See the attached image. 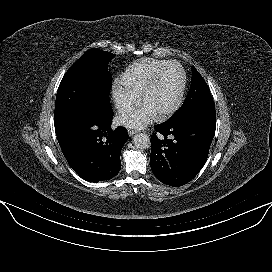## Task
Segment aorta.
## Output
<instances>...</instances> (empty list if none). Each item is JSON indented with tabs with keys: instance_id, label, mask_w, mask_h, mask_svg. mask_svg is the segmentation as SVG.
<instances>
[{
	"instance_id": "obj_1",
	"label": "aorta",
	"mask_w": 272,
	"mask_h": 272,
	"mask_svg": "<svg viewBox=\"0 0 272 272\" xmlns=\"http://www.w3.org/2000/svg\"><path fill=\"white\" fill-rule=\"evenodd\" d=\"M133 144L137 149H147L150 147V137L145 133L135 134Z\"/></svg>"
}]
</instances>
